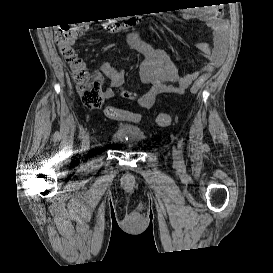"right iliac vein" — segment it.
<instances>
[{"mask_svg":"<svg viewBox=\"0 0 273 273\" xmlns=\"http://www.w3.org/2000/svg\"><path fill=\"white\" fill-rule=\"evenodd\" d=\"M90 146V138L88 135H85L82 140V150L87 151Z\"/></svg>","mask_w":273,"mask_h":273,"instance_id":"1","label":"right iliac vein"}]
</instances>
